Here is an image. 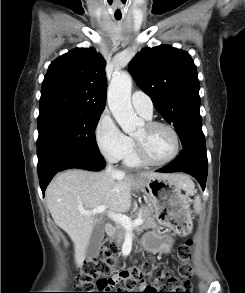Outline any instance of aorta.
Masks as SVG:
<instances>
[{
	"label": "aorta",
	"instance_id": "1",
	"mask_svg": "<svg viewBox=\"0 0 245 293\" xmlns=\"http://www.w3.org/2000/svg\"><path fill=\"white\" fill-rule=\"evenodd\" d=\"M132 77L128 73L113 76L108 88L109 109L123 132L132 134L142 123L131 105Z\"/></svg>",
	"mask_w": 245,
	"mask_h": 293
}]
</instances>
